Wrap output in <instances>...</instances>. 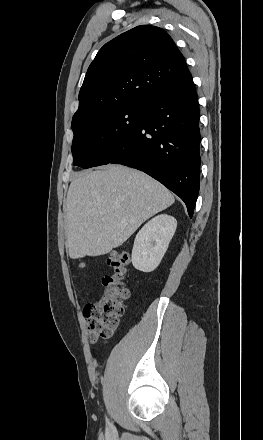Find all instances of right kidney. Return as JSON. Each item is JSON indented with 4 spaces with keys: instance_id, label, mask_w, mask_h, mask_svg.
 I'll list each match as a JSON object with an SVG mask.
<instances>
[{
    "instance_id": "obj_1",
    "label": "right kidney",
    "mask_w": 263,
    "mask_h": 440,
    "mask_svg": "<svg viewBox=\"0 0 263 440\" xmlns=\"http://www.w3.org/2000/svg\"><path fill=\"white\" fill-rule=\"evenodd\" d=\"M177 221L174 217L161 214L148 221L136 235L132 264L142 272H151L161 262L175 233Z\"/></svg>"
}]
</instances>
